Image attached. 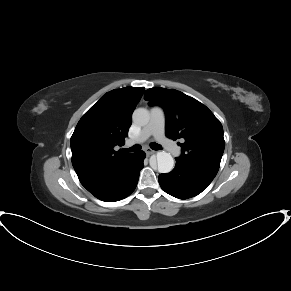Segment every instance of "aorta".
<instances>
[{"instance_id": "obj_1", "label": "aorta", "mask_w": 291, "mask_h": 291, "mask_svg": "<svg viewBox=\"0 0 291 291\" xmlns=\"http://www.w3.org/2000/svg\"><path fill=\"white\" fill-rule=\"evenodd\" d=\"M133 121L139 126H144L149 122L150 114L145 108H138L133 112ZM158 171L160 173H169L174 167V159L170 153L165 151L158 152L156 155Z\"/></svg>"}]
</instances>
